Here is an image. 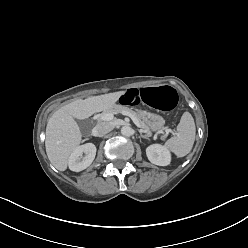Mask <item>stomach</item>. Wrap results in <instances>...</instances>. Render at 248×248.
<instances>
[{
  "instance_id": "obj_1",
  "label": "stomach",
  "mask_w": 248,
  "mask_h": 248,
  "mask_svg": "<svg viewBox=\"0 0 248 248\" xmlns=\"http://www.w3.org/2000/svg\"><path fill=\"white\" fill-rule=\"evenodd\" d=\"M138 114L152 131H158L162 129L165 124L164 119L160 115L146 111H139Z\"/></svg>"
}]
</instances>
